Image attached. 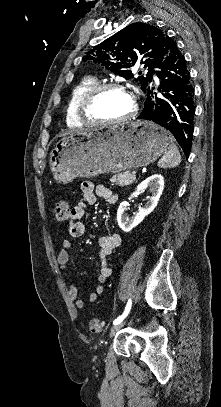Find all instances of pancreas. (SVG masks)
I'll use <instances>...</instances> for the list:
<instances>
[{"label":"pancreas","instance_id":"pancreas-1","mask_svg":"<svg viewBox=\"0 0 221 407\" xmlns=\"http://www.w3.org/2000/svg\"><path fill=\"white\" fill-rule=\"evenodd\" d=\"M111 182L119 185V186H128L136 181V176L132 175V173L126 171L122 174L113 175L110 179Z\"/></svg>","mask_w":221,"mask_h":407}]
</instances>
